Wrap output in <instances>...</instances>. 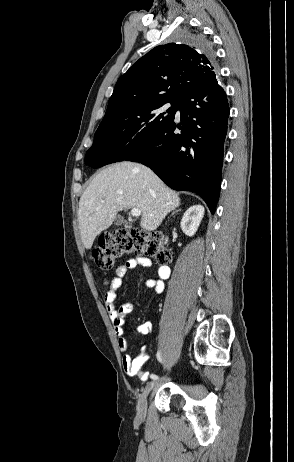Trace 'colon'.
I'll list each match as a JSON object with an SVG mask.
<instances>
[{"label": "colon", "mask_w": 294, "mask_h": 462, "mask_svg": "<svg viewBox=\"0 0 294 462\" xmlns=\"http://www.w3.org/2000/svg\"><path fill=\"white\" fill-rule=\"evenodd\" d=\"M167 238L161 232H147L139 228H118L101 236L99 245L92 251L96 265L102 270L112 269L116 263L128 255H145L158 264H168L171 254L167 248Z\"/></svg>", "instance_id": "5ec220e1"}]
</instances>
